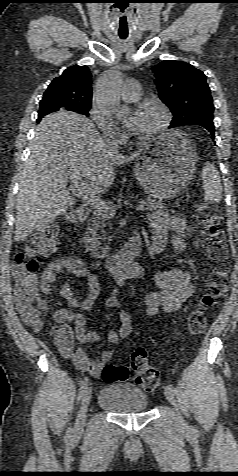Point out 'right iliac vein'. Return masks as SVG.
<instances>
[{"label": "right iliac vein", "mask_w": 238, "mask_h": 476, "mask_svg": "<svg viewBox=\"0 0 238 476\" xmlns=\"http://www.w3.org/2000/svg\"><path fill=\"white\" fill-rule=\"evenodd\" d=\"M91 395H92V389H91V387H87L85 392H84L83 399H82V402H81L80 411H79V414H78V417H77V420L75 422L74 429H73V437H75V438L79 437L83 432L84 424H85V418H86V412H87L88 406L90 404Z\"/></svg>", "instance_id": "obj_1"}]
</instances>
